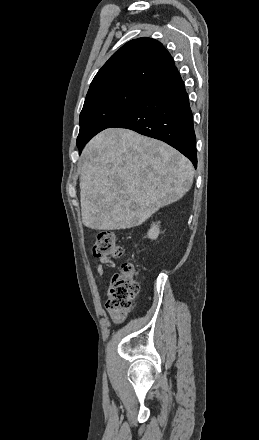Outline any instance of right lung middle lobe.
Returning a JSON list of instances; mask_svg holds the SVG:
<instances>
[{"label": "right lung middle lobe", "mask_w": 259, "mask_h": 440, "mask_svg": "<svg viewBox=\"0 0 259 440\" xmlns=\"http://www.w3.org/2000/svg\"><path fill=\"white\" fill-rule=\"evenodd\" d=\"M147 91L121 89L86 101L80 113L79 153L92 137L129 112Z\"/></svg>", "instance_id": "1"}]
</instances>
